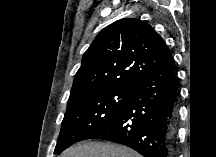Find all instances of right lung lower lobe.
<instances>
[{
  "mask_svg": "<svg viewBox=\"0 0 216 157\" xmlns=\"http://www.w3.org/2000/svg\"><path fill=\"white\" fill-rule=\"evenodd\" d=\"M177 96L171 57L132 86L123 110L90 139L121 143L144 157H172L176 142Z\"/></svg>",
  "mask_w": 216,
  "mask_h": 157,
  "instance_id": "obj_1",
  "label": "right lung lower lobe"
}]
</instances>
